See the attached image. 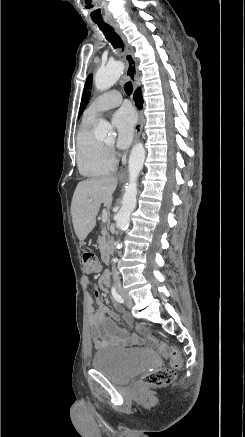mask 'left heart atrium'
I'll return each instance as SVG.
<instances>
[{
    "label": "left heart atrium",
    "mask_w": 245,
    "mask_h": 437,
    "mask_svg": "<svg viewBox=\"0 0 245 437\" xmlns=\"http://www.w3.org/2000/svg\"><path fill=\"white\" fill-rule=\"evenodd\" d=\"M112 123L116 128V146L119 149L127 148L133 138L136 125V115L132 108L122 107L116 111L112 117Z\"/></svg>",
    "instance_id": "left-heart-atrium-1"
}]
</instances>
